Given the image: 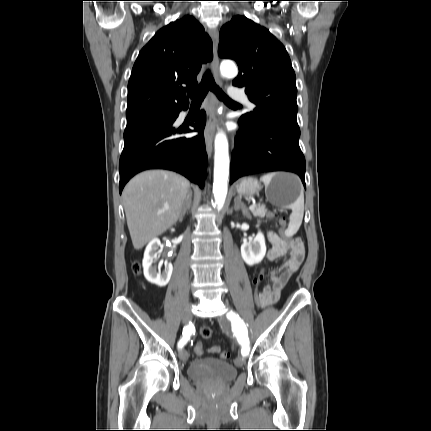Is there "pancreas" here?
<instances>
[{"mask_svg": "<svg viewBox=\"0 0 431 431\" xmlns=\"http://www.w3.org/2000/svg\"><path fill=\"white\" fill-rule=\"evenodd\" d=\"M251 212L255 217H260V218H264L265 216L267 218H273L274 217V214L267 212V209L264 205L257 206L256 208L251 210Z\"/></svg>", "mask_w": 431, "mask_h": 431, "instance_id": "obj_1", "label": "pancreas"}]
</instances>
